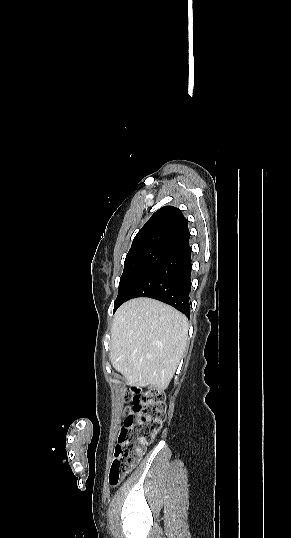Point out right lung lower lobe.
Returning <instances> with one entry per match:
<instances>
[{"instance_id":"98d812e1","label":"right lung lower lobe","mask_w":291,"mask_h":538,"mask_svg":"<svg viewBox=\"0 0 291 538\" xmlns=\"http://www.w3.org/2000/svg\"><path fill=\"white\" fill-rule=\"evenodd\" d=\"M191 248L189 241L172 249L141 280L129 296L150 297L190 316Z\"/></svg>"}]
</instances>
